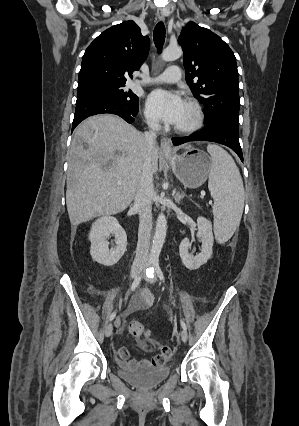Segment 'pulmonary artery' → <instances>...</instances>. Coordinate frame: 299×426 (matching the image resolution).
Instances as JSON below:
<instances>
[{
	"mask_svg": "<svg viewBox=\"0 0 299 426\" xmlns=\"http://www.w3.org/2000/svg\"><path fill=\"white\" fill-rule=\"evenodd\" d=\"M181 79V70L178 66H170L160 75L142 80L140 83H176Z\"/></svg>",
	"mask_w": 299,
	"mask_h": 426,
	"instance_id": "1",
	"label": "pulmonary artery"
}]
</instances>
